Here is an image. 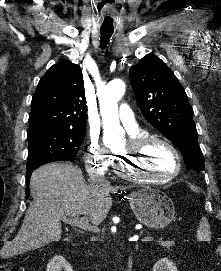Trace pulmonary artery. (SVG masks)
Masks as SVG:
<instances>
[{
    "instance_id": "pulmonary-artery-1",
    "label": "pulmonary artery",
    "mask_w": 221,
    "mask_h": 271,
    "mask_svg": "<svg viewBox=\"0 0 221 271\" xmlns=\"http://www.w3.org/2000/svg\"><path fill=\"white\" fill-rule=\"evenodd\" d=\"M118 112H121L119 122H123V127H138L136 112H133V107H118ZM128 133H140V128H128Z\"/></svg>"
}]
</instances>
